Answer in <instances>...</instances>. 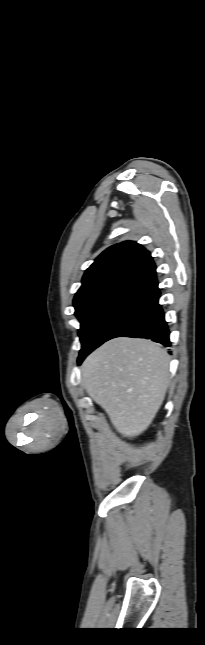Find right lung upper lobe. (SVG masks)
Wrapping results in <instances>:
<instances>
[{"label":"right lung upper lobe","mask_w":205,"mask_h":645,"mask_svg":"<svg viewBox=\"0 0 205 645\" xmlns=\"http://www.w3.org/2000/svg\"><path fill=\"white\" fill-rule=\"evenodd\" d=\"M157 285L150 252L136 242L126 241L106 249L86 270L74 304L121 288L150 291Z\"/></svg>","instance_id":"right-lung-upper-lobe-1"}]
</instances>
